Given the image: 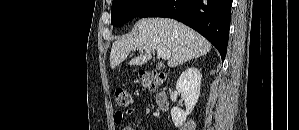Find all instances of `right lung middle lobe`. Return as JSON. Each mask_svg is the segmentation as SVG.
I'll list each match as a JSON object with an SVG mask.
<instances>
[{"mask_svg": "<svg viewBox=\"0 0 299 130\" xmlns=\"http://www.w3.org/2000/svg\"><path fill=\"white\" fill-rule=\"evenodd\" d=\"M154 0H113L111 23L118 27L137 17Z\"/></svg>", "mask_w": 299, "mask_h": 130, "instance_id": "1", "label": "right lung middle lobe"}]
</instances>
